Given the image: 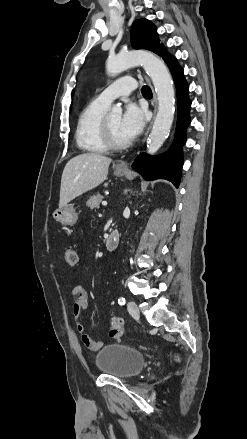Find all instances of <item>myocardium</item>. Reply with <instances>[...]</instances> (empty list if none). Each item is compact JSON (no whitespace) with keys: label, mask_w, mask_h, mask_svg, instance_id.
<instances>
[{"label":"myocardium","mask_w":247,"mask_h":439,"mask_svg":"<svg viewBox=\"0 0 247 439\" xmlns=\"http://www.w3.org/2000/svg\"><path fill=\"white\" fill-rule=\"evenodd\" d=\"M101 135H102V140L108 149L122 150V149L127 148L130 145V143L128 141L120 143L114 139L111 128H110V124L108 121V116H104V118H103L102 126H101Z\"/></svg>","instance_id":"f54148a6"}]
</instances>
